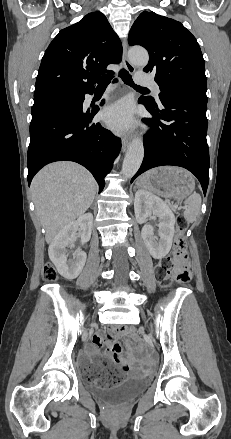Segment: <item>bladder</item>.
<instances>
[{"label": "bladder", "mask_w": 231, "mask_h": 439, "mask_svg": "<svg viewBox=\"0 0 231 439\" xmlns=\"http://www.w3.org/2000/svg\"><path fill=\"white\" fill-rule=\"evenodd\" d=\"M99 367L91 358L81 357L76 362V371L80 377L87 379L93 375ZM150 383L149 376H137L123 380L113 386H95L88 387L91 395L99 400L106 402H123L139 393H141Z\"/></svg>", "instance_id": "1"}]
</instances>
